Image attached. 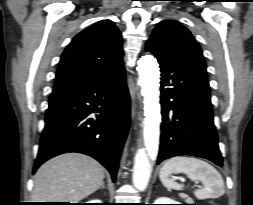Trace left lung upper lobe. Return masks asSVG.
Segmentation results:
<instances>
[{"instance_id": "1", "label": "left lung upper lobe", "mask_w": 253, "mask_h": 205, "mask_svg": "<svg viewBox=\"0 0 253 205\" xmlns=\"http://www.w3.org/2000/svg\"><path fill=\"white\" fill-rule=\"evenodd\" d=\"M147 43L181 57L198 67L206 75V63L202 50L192 34L184 26L173 20L160 23Z\"/></svg>"}]
</instances>
